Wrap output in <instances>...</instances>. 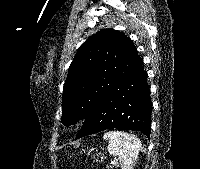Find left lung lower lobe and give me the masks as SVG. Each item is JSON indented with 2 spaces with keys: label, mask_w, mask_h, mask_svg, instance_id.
<instances>
[{
  "label": "left lung lower lobe",
  "mask_w": 200,
  "mask_h": 169,
  "mask_svg": "<svg viewBox=\"0 0 200 169\" xmlns=\"http://www.w3.org/2000/svg\"><path fill=\"white\" fill-rule=\"evenodd\" d=\"M151 107L147 73L141 64L94 106L76 139L107 129L139 131L149 137Z\"/></svg>",
  "instance_id": "left-lung-lower-lobe-1"
}]
</instances>
